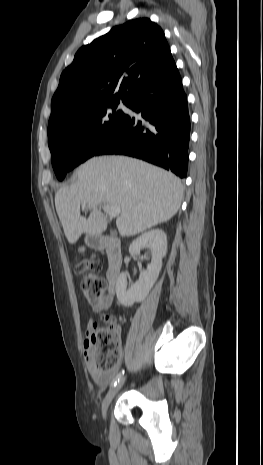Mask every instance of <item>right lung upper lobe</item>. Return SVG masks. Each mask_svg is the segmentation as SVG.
I'll return each mask as SVG.
<instances>
[{
	"mask_svg": "<svg viewBox=\"0 0 263 465\" xmlns=\"http://www.w3.org/2000/svg\"><path fill=\"white\" fill-rule=\"evenodd\" d=\"M175 65L164 32L148 18L112 28L81 47L61 74L49 123L66 113L110 99H128Z\"/></svg>",
	"mask_w": 263,
	"mask_h": 465,
	"instance_id": "obj_1",
	"label": "right lung upper lobe"
}]
</instances>
